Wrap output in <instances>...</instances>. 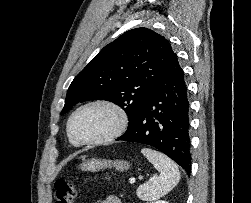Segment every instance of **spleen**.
<instances>
[{
  "instance_id": "spleen-1",
  "label": "spleen",
  "mask_w": 251,
  "mask_h": 203,
  "mask_svg": "<svg viewBox=\"0 0 251 203\" xmlns=\"http://www.w3.org/2000/svg\"><path fill=\"white\" fill-rule=\"evenodd\" d=\"M141 153L159 171V176L154 175L148 182L137 189L140 200L149 202L159 199L170 192L180 180L178 166L166 155L150 148H143ZM153 203V202H152Z\"/></svg>"
}]
</instances>
